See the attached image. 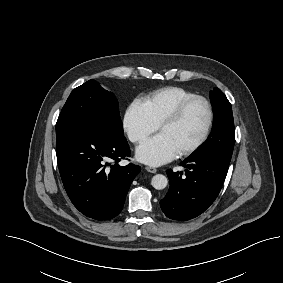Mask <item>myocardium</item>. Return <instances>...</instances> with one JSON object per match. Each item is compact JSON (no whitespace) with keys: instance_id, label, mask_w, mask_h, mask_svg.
<instances>
[{"instance_id":"obj_1","label":"myocardium","mask_w":283,"mask_h":283,"mask_svg":"<svg viewBox=\"0 0 283 283\" xmlns=\"http://www.w3.org/2000/svg\"><path fill=\"white\" fill-rule=\"evenodd\" d=\"M195 102H202L205 105L208 113L207 124L200 138L178 153V155L181 157L188 156L196 152L208 139L214 123V109L211 102L206 97L199 95H195L191 98H188L181 102L170 115H168L161 121L158 126L159 130H161L165 126L178 123L184 116L187 109Z\"/></svg>"}]
</instances>
